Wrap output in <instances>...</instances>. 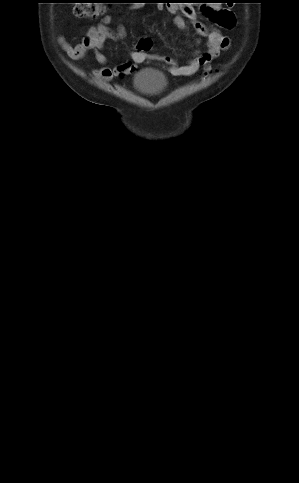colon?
I'll return each mask as SVG.
<instances>
[{
  "mask_svg": "<svg viewBox=\"0 0 299 483\" xmlns=\"http://www.w3.org/2000/svg\"><path fill=\"white\" fill-rule=\"evenodd\" d=\"M74 7V15L79 18L93 19L101 16L109 0H79Z\"/></svg>",
  "mask_w": 299,
  "mask_h": 483,
  "instance_id": "1",
  "label": "colon"
}]
</instances>
